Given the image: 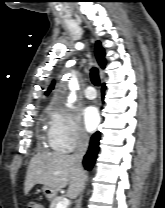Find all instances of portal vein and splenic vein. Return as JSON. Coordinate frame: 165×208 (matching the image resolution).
<instances>
[{
    "label": "portal vein and splenic vein",
    "mask_w": 165,
    "mask_h": 208,
    "mask_svg": "<svg viewBox=\"0 0 165 208\" xmlns=\"http://www.w3.org/2000/svg\"><path fill=\"white\" fill-rule=\"evenodd\" d=\"M70 204V200L67 198H64L62 201L57 203L56 208H67V206Z\"/></svg>",
    "instance_id": "18ae733b"
}]
</instances>
